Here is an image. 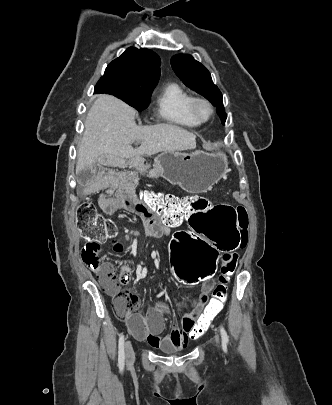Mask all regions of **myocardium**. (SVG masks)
Segmentation results:
<instances>
[{
	"mask_svg": "<svg viewBox=\"0 0 332 405\" xmlns=\"http://www.w3.org/2000/svg\"><path fill=\"white\" fill-rule=\"evenodd\" d=\"M199 104H205L209 109V114L207 117H201L198 113L197 107ZM189 113L191 116L199 123H205L211 119L214 113V108L210 100L203 96H195L189 102L188 105Z\"/></svg>",
	"mask_w": 332,
	"mask_h": 405,
	"instance_id": "myocardium-1",
	"label": "myocardium"
}]
</instances>
